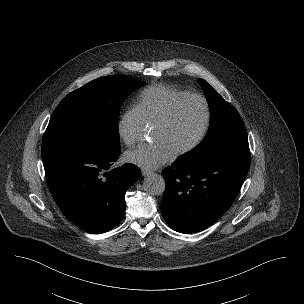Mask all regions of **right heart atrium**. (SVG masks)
Returning a JSON list of instances; mask_svg holds the SVG:
<instances>
[{
  "mask_svg": "<svg viewBox=\"0 0 304 304\" xmlns=\"http://www.w3.org/2000/svg\"><path fill=\"white\" fill-rule=\"evenodd\" d=\"M144 127L145 122L135 105L127 108L117 123L118 135L127 146L133 145L138 140Z\"/></svg>",
  "mask_w": 304,
  "mask_h": 304,
  "instance_id": "d8ad5b80",
  "label": "right heart atrium"
}]
</instances>
